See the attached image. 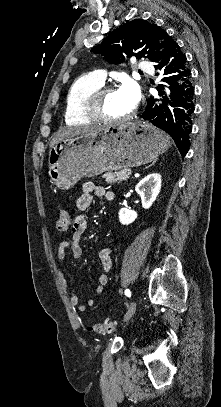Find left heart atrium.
<instances>
[{
	"label": "left heart atrium",
	"instance_id": "1",
	"mask_svg": "<svg viewBox=\"0 0 221 407\" xmlns=\"http://www.w3.org/2000/svg\"><path fill=\"white\" fill-rule=\"evenodd\" d=\"M118 91L125 98L131 108H134L140 100L139 88L132 80H124Z\"/></svg>",
	"mask_w": 221,
	"mask_h": 407
}]
</instances>
